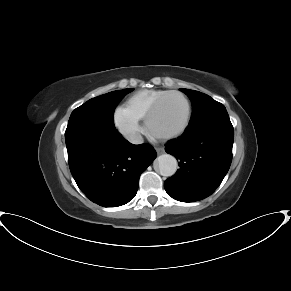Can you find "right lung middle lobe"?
I'll list each match as a JSON object with an SVG mask.
<instances>
[{
    "label": "right lung middle lobe",
    "instance_id": "1",
    "mask_svg": "<svg viewBox=\"0 0 291 291\" xmlns=\"http://www.w3.org/2000/svg\"><path fill=\"white\" fill-rule=\"evenodd\" d=\"M132 90L133 88L113 91L88 100L73 110L68 123L74 121H89L114 125L113 114L115 107Z\"/></svg>",
    "mask_w": 291,
    "mask_h": 291
}]
</instances>
